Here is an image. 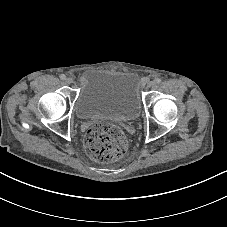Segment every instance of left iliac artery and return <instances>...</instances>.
Masks as SVG:
<instances>
[{"instance_id": "left-iliac-artery-1", "label": "left iliac artery", "mask_w": 227, "mask_h": 227, "mask_svg": "<svg viewBox=\"0 0 227 227\" xmlns=\"http://www.w3.org/2000/svg\"><path fill=\"white\" fill-rule=\"evenodd\" d=\"M155 82L159 84L161 82V79L160 78H156Z\"/></svg>"}]
</instances>
